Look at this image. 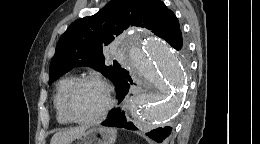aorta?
I'll return each mask as SVG.
<instances>
[{"instance_id": "762f6f07", "label": "aorta", "mask_w": 260, "mask_h": 144, "mask_svg": "<svg viewBox=\"0 0 260 144\" xmlns=\"http://www.w3.org/2000/svg\"><path fill=\"white\" fill-rule=\"evenodd\" d=\"M131 69L140 78L169 94L142 93L131 102L136 123L158 124L172 117L178 110L186 85L184 67L177 53L165 41L141 32L124 40Z\"/></svg>"}]
</instances>
